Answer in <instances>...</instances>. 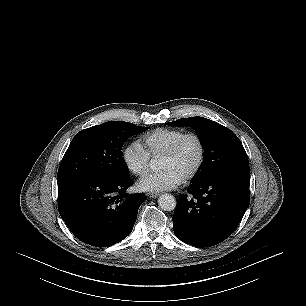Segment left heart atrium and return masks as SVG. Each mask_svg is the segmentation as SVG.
<instances>
[{"instance_id": "39dd6f15", "label": "left heart atrium", "mask_w": 306, "mask_h": 306, "mask_svg": "<svg viewBox=\"0 0 306 306\" xmlns=\"http://www.w3.org/2000/svg\"><path fill=\"white\" fill-rule=\"evenodd\" d=\"M182 182L183 178L175 171L164 169L144 177L138 183V187L143 191H164L173 189Z\"/></svg>"}]
</instances>
